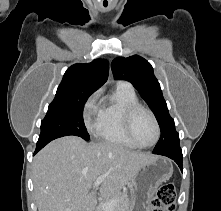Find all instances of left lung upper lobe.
Instances as JSON below:
<instances>
[{
	"label": "left lung upper lobe",
	"instance_id": "1",
	"mask_svg": "<svg viewBox=\"0 0 221 211\" xmlns=\"http://www.w3.org/2000/svg\"><path fill=\"white\" fill-rule=\"evenodd\" d=\"M111 68L115 79L127 80L133 84L155 114L161 136L153 151L179 148V134L175 130L174 120L169 115L166 101L151 64L144 58L134 55L114 59Z\"/></svg>",
	"mask_w": 221,
	"mask_h": 211
}]
</instances>
